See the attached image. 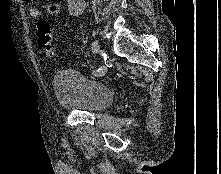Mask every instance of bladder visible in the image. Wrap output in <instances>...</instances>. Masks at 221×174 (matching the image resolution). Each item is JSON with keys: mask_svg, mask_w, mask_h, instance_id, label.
I'll use <instances>...</instances> for the list:
<instances>
[{"mask_svg": "<svg viewBox=\"0 0 221 174\" xmlns=\"http://www.w3.org/2000/svg\"><path fill=\"white\" fill-rule=\"evenodd\" d=\"M53 92L58 105L66 111L98 112L113 100L106 85L72 69L54 75Z\"/></svg>", "mask_w": 221, "mask_h": 174, "instance_id": "1", "label": "bladder"}]
</instances>
